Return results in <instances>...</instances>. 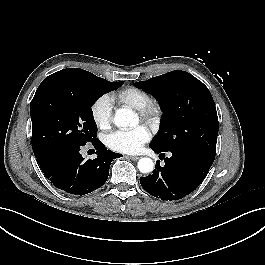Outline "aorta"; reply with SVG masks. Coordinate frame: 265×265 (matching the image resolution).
Wrapping results in <instances>:
<instances>
[{
	"instance_id": "762f6f07",
	"label": "aorta",
	"mask_w": 265,
	"mask_h": 265,
	"mask_svg": "<svg viewBox=\"0 0 265 265\" xmlns=\"http://www.w3.org/2000/svg\"><path fill=\"white\" fill-rule=\"evenodd\" d=\"M136 116L132 110L127 108L118 109L114 115L113 123L118 128L132 127L136 124ZM138 169L141 173H150L154 169L153 160L147 157L138 161Z\"/></svg>"
}]
</instances>
